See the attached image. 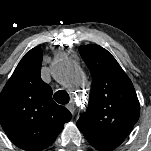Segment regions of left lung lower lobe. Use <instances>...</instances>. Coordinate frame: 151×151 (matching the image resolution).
Listing matches in <instances>:
<instances>
[{
  "label": "left lung lower lobe",
  "instance_id": "left-lung-lower-lobe-1",
  "mask_svg": "<svg viewBox=\"0 0 151 151\" xmlns=\"http://www.w3.org/2000/svg\"><path fill=\"white\" fill-rule=\"evenodd\" d=\"M87 140L93 147L101 151H112L123 142L120 139H108L101 137L87 138Z\"/></svg>",
  "mask_w": 151,
  "mask_h": 151
}]
</instances>
